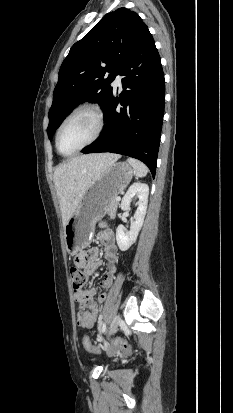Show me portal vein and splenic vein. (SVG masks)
Instances as JSON below:
<instances>
[{
  "mask_svg": "<svg viewBox=\"0 0 233 413\" xmlns=\"http://www.w3.org/2000/svg\"><path fill=\"white\" fill-rule=\"evenodd\" d=\"M121 200V198L120 197H116V201H120Z\"/></svg>",
  "mask_w": 233,
  "mask_h": 413,
  "instance_id": "18ae733b",
  "label": "portal vein and splenic vein"
}]
</instances>
